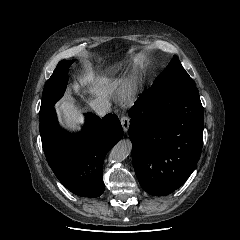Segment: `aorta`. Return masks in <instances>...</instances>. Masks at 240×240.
Segmentation results:
<instances>
[{"instance_id":"obj_1","label":"aorta","mask_w":240,"mask_h":240,"mask_svg":"<svg viewBox=\"0 0 240 240\" xmlns=\"http://www.w3.org/2000/svg\"><path fill=\"white\" fill-rule=\"evenodd\" d=\"M132 149L130 140L119 141L111 150L110 160L115 162H121L127 158Z\"/></svg>"}]
</instances>
